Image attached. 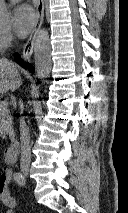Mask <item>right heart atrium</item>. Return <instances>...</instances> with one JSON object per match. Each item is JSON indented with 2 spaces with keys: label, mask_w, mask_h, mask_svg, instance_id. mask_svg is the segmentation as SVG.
<instances>
[{
  "label": "right heart atrium",
  "mask_w": 128,
  "mask_h": 213,
  "mask_svg": "<svg viewBox=\"0 0 128 213\" xmlns=\"http://www.w3.org/2000/svg\"><path fill=\"white\" fill-rule=\"evenodd\" d=\"M14 42L13 35L8 31L0 30V52L7 50Z\"/></svg>",
  "instance_id": "1"
}]
</instances>
